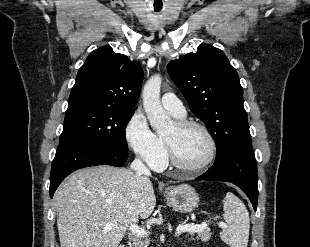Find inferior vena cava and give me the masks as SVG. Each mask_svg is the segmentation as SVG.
<instances>
[{"label": "inferior vena cava", "instance_id": "602c4592", "mask_svg": "<svg viewBox=\"0 0 310 247\" xmlns=\"http://www.w3.org/2000/svg\"><path fill=\"white\" fill-rule=\"evenodd\" d=\"M130 168L139 175H150V170L145 166L140 158H135V160L131 163Z\"/></svg>", "mask_w": 310, "mask_h": 247}]
</instances>
